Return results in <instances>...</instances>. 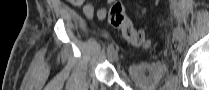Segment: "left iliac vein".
Masks as SVG:
<instances>
[{
  "label": "left iliac vein",
  "mask_w": 209,
  "mask_h": 90,
  "mask_svg": "<svg viewBox=\"0 0 209 90\" xmlns=\"http://www.w3.org/2000/svg\"><path fill=\"white\" fill-rule=\"evenodd\" d=\"M177 24H178L177 29L173 30V38L174 39H181L182 38V35H181L182 27L179 26V24H180L179 22ZM179 48L180 49L182 48V43L181 42L179 43Z\"/></svg>",
  "instance_id": "obj_1"
}]
</instances>
